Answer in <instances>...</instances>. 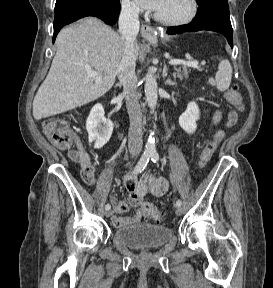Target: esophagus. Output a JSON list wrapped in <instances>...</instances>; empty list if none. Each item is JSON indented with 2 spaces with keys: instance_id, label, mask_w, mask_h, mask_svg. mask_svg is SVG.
<instances>
[{
  "instance_id": "1",
  "label": "esophagus",
  "mask_w": 273,
  "mask_h": 288,
  "mask_svg": "<svg viewBox=\"0 0 273 288\" xmlns=\"http://www.w3.org/2000/svg\"><path fill=\"white\" fill-rule=\"evenodd\" d=\"M141 34L145 39L149 40L157 34V30L149 25H142Z\"/></svg>"
}]
</instances>
